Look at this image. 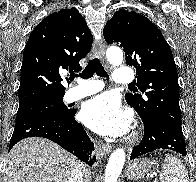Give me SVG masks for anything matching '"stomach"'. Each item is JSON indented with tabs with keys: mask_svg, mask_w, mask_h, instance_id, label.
<instances>
[{
	"mask_svg": "<svg viewBox=\"0 0 196 182\" xmlns=\"http://www.w3.org/2000/svg\"><path fill=\"white\" fill-rule=\"evenodd\" d=\"M152 162L141 160L133 163L127 171V176L130 179L142 177L151 167Z\"/></svg>",
	"mask_w": 196,
	"mask_h": 182,
	"instance_id": "0dacf381",
	"label": "stomach"
}]
</instances>
